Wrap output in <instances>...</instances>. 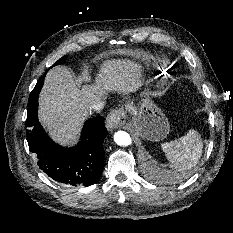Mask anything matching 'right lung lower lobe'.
Instances as JSON below:
<instances>
[{
    "instance_id": "right-lung-lower-lobe-1",
    "label": "right lung lower lobe",
    "mask_w": 233,
    "mask_h": 233,
    "mask_svg": "<svg viewBox=\"0 0 233 233\" xmlns=\"http://www.w3.org/2000/svg\"><path fill=\"white\" fill-rule=\"evenodd\" d=\"M45 74L30 94L26 126L29 128V149L38 158V166L55 181L72 186H90L100 177L104 168L103 141L108 132L102 117L85 122L77 146L64 148L54 143L38 122V96ZM35 112V113H33Z\"/></svg>"
}]
</instances>
